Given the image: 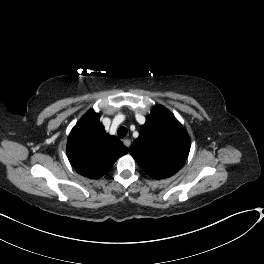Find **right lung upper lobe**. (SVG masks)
Returning a JSON list of instances; mask_svg holds the SVG:
<instances>
[{
    "mask_svg": "<svg viewBox=\"0 0 264 264\" xmlns=\"http://www.w3.org/2000/svg\"><path fill=\"white\" fill-rule=\"evenodd\" d=\"M128 153L122 142L106 134L99 114L89 110L73 127L67 143V156L81 175L98 179L117 159Z\"/></svg>",
    "mask_w": 264,
    "mask_h": 264,
    "instance_id": "cb5924a9",
    "label": "right lung upper lobe"
}]
</instances>
